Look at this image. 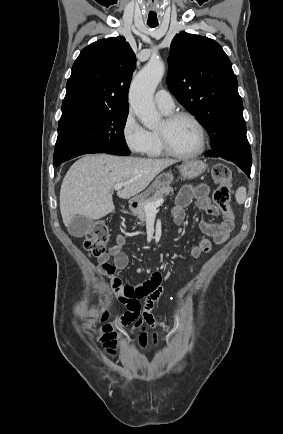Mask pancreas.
<instances>
[{"label": "pancreas", "instance_id": "cf45deb5", "mask_svg": "<svg viewBox=\"0 0 283 434\" xmlns=\"http://www.w3.org/2000/svg\"><path fill=\"white\" fill-rule=\"evenodd\" d=\"M173 192H174V189L172 187H169V186L158 188L155 191V193L153 194V196H151L150 198H147V200L145 202L140 204L137 208L131 209V210L135 215H137V217L139 218L141 223H143L146 220V215H147V212L145 211V208H144L145 205L148 203H153L156 200L161 199L163 196H167Z\"/></svg>", "mask_w": 283, "mask_h": 434}]
</instances>
